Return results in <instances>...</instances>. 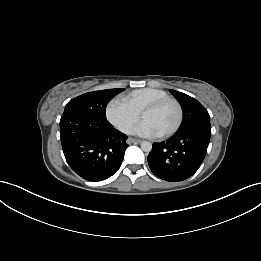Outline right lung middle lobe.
<instances>
[{"instance_id": "obj_1", "label": "right lung middle lobe", "mask_w": 261, "mask_h": 261, "mask_svg": "<svg viewBox=\"0 0 261 261\" xmlns=\"http://www.w3.org/2000/svg\"><path fill=\"white\" fill-rule=\"evenodd\" d=\"M124 89H107L82 94L70 100L64 113H76L87 117L106 119L105 110L108 102Z\"/></svg>"}]
</instances>
